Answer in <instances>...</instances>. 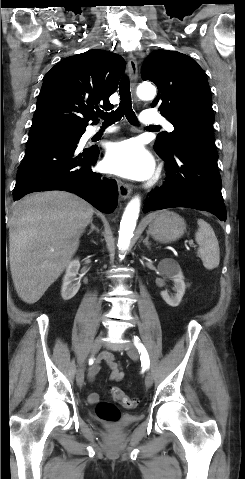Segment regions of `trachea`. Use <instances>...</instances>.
Returning <instances> with one entry per match:
<instances>
[{
    "instance_id": "3493384b",
    "label": "trachea",
    "mask_w": 245,
    "mask_h": 479,
    "mask_svg": "<svg viewBox=\"0 0 245 479\" xmlns=\"http://www.w3.org/2000/svg\"><path fill=\"white\" fill-rule=\"evenodd\" d=\"M119 95L120 104L115 111H111L110 113L98 111L97 114L104 120V124L106 125H111L119 121L123 116H125L131 124L138 125L137 117L132 109L130 82L126 76L120 81ZM149 128L155 129L158 127L150 126Z\"/></svg>"
}]
</instances>
